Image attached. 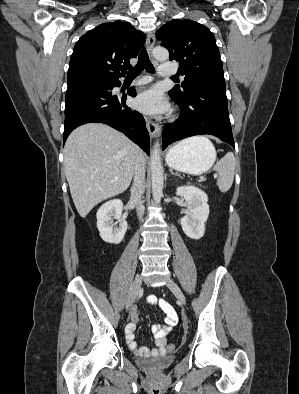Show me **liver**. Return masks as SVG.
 Masks as SVG:
<instances>
[{
	"mask_svg": "<svg viewBox=\"0 0 299 394\" xmlns=\"http://www.w3.org/2000/svg\"><path fill=\"white\" fill-rule=\"evenodd\" d=\"M63 153L65 176L82 218L101 201L124 192L131 183L137 159L144 158L139 147L124 134L100 123L75 129Z\"/></svg>",
	"mask_w": 299,
	"mask_h": 394,
	"instance_id": "liver-1",
	"label": "liver"
}]
</instances>
